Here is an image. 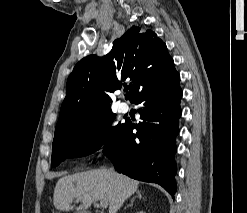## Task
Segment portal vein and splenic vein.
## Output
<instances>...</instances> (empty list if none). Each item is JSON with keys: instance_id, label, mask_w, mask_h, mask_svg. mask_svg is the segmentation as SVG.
Returning <instances> with one entry per match:
<instances>
[{"instance_id": "portal-vein-and-splenic-vein-1", "label": "portal vein and splenic vein", "mask_w": 247, "mask_h": 213, "mask_svg": "<svg viewBox=\"0 0 247 213\" xmlns=\"http://www.w3.org/2000/svg\"><path fill=\"white\" fill-rule=\"evenodd\" d=\"M99 204H100V206L102 208H106L107 207V202L106 201L101 200Z\"/></svg>"}]
</instances>
